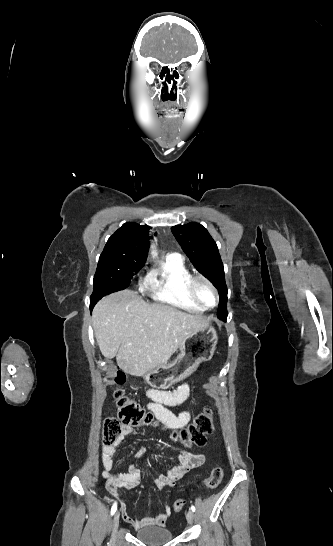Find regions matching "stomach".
<instances>
[{
	"mask_svg": "<svg viewBox=\"0 0 333 546\" xmlns=\"http://www.w3.org/2000/svg\"><path fill=\"white\" fill-rule=\"evenodd\" d=\"M217 340L216 330L210 325L192 333L181 343L178 357L170 364H163L147 372L145 380L157 389H168L191 375L200 363L210 360Z\"/></svg>",
	"mask_w": 333,
	"mask_h": 546,
	"instance_id": "0dacf381",
	"label": "stomach"
}]
</instances>
